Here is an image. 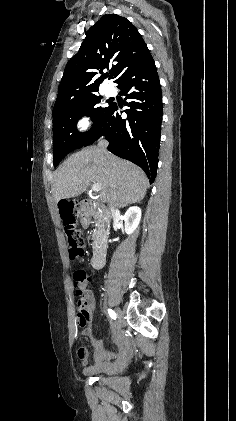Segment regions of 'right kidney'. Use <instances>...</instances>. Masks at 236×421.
Instances as JSON below:
<instances>
[{"mask_svg":"<svg viewBox=\"0 0 236 421\" xmlns=\"http://www.w3.org/2000/svg\"><path fill=\"white\" fill-rule=\"evenodd\" d=\"M141 219V208L139 206H130L124 215V227L127 235H132L137 229Z\"/></svg>","mask_w":236,"mask_h":421,"instance_id":"1","label":"right kidney"}]
</instances>
